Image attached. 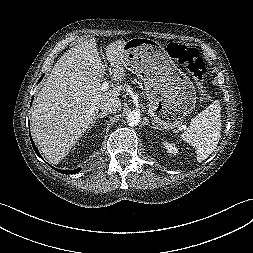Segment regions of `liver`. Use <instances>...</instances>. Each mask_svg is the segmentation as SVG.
<instances>
[{"label": "liver", "mask_w": 253, "mask_h": 253, "mask_svg": "<svg viewBox=\"0 0 253 253\" xmlns=\"http://www.w3.org/2000/svg\"><path fill=\"white\" fill-rule=\"evenodd\" d=\"M125 40L106 46L112 76H127L122 47ZM96 40H86L65 52L55 63L34 100L31 133L47 160L58 164L91 128L103 102L118 98L123 86L103 91L105 75ZM119 99V98H118Z\"/></svg>", "instance_id": "obj_1"}]
</instances>
